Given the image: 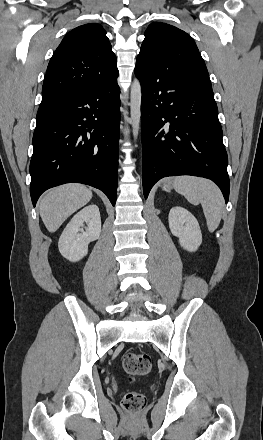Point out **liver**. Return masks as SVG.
<instances>
[{
  "mask_svg": "<svg viewBox=\"0 0 263 440\" xmlns=\"http://www.w3.org/2000/svg\"><path fill=\"white\" fill-rule=\"evenodd\" d=\"M92 198V191L81 184H66L50 190L40 201L39 211L49 232H55L75 211Z\"/></svg>",
  "mask_w": 263,
  "mask_h": 440,
  "instance_id": "6515ba94",
  "label": "liver"
}]
</instances>
